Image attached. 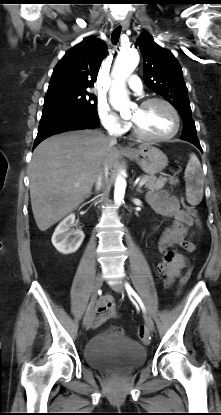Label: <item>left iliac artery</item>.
Listing matches in <instances>:
<instances>
[{
  "label": "left iliac artery",
  "instance_id": "44dca946",
  "mask_svg": "<svg viewBox=\"0 0 221 415\" xmlns=\"http://www.w3.org/2000/svg\"><path fill=\"white\" fill-rule=\"evenodd\" d=\"M125 288H126V291H127V293H128V295H132L136 300H137V302L140 304V306H141V308H142V310L145 312L146 310H145V306H144V304H143V302H142V300H141V298L138 296V294L135 292V290L130 286V284L129 283H125Z\"/></svg>",
  "mask_w": 221,
  "mask_h": 415
}]
</instances>
